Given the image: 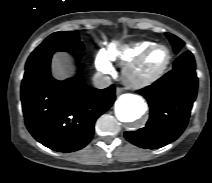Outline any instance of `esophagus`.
Here are the masks:
<instances>
[{"instance_id":"esophagus-1","label":"esophagus","mask_w":212,"mask_h":183,"mask_svg":"<svg viewBox=\"0 0 212 183\" xmlns=\"http://www.w3.org/2000/svg\"><path fill=\"white\" fill-rule=\"evenodd\" d=\"M122 92H123V88H121V87L116 88V94L117 95H120Z\"/></svg>"}]
</instances>
